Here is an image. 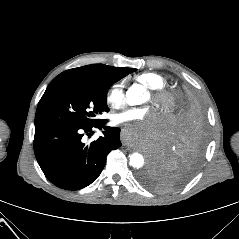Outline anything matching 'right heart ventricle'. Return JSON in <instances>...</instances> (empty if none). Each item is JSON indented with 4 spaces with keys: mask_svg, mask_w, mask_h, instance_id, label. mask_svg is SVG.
Listing matches in <instances>:
<instances>
[{
    "mask_svg": "<svg viewBox=\"0 0 239 239\" xmlns=\"http://www.w3.org/2000/svg\"><path fill=\"white\" fill-rule=\"evenodd\" d=\"M134 80L151 90L163 89L167 84L165 77L155 72H143L136 75Z\"/></svg>",
    "mask_w": 239,
    "mask_h": 239,
    "instance_id": "obj_1",
    "label": "right heart ventricle"
}]
</instances>
